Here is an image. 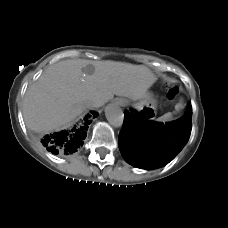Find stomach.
<instances>
[{
	"label": "stomach",
	"instance_id": "0dacf381",
	"mask_svg": "<svg viewBox=\"0 0 228 228\" xmlns=\"http://www.w3.org/2000/svg\"><path fill=\"white\" fill-rule=\"evenodd\" d=\"M127 101L123 100L122 104H126ZM139 110L143 112L148 118H152L156 111V101L152 94L147 93L146 96L139 103Z\"/></svg>",
	"mask_w": 228,
	"mask_h": 228
}]
</instances>
